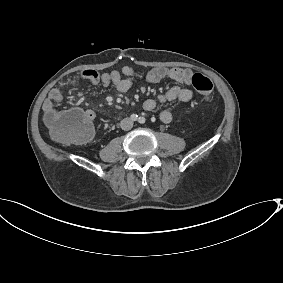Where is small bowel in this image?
Wrapping results in <instances>:
<instances>
[{"label":"small bowel","instance_id":"1","mask_svg":"<svg viewBox=\"0 0 283 283\" xmlns=\"http://www.w3.org/2000/svg\"><path fill=\"white\" fill-rule=\"evenodd\" d=\"M192 76V72L188 69L155 67L148 71L146 80L150 83H157L167 78L178 84L189 85L191 84ZM80 77L94 85H102L104 87L113 86L118 92L126 93L132 86L134 71L130 66L123 67L121 71L114 70L101 74L95 70L86 69L80 73ZM192 96L193 93L189 88L175 85L163 94H160L157 98L147 99L143 103V108L151 112L155 110L158 105L168 102L176 100L188 102L191 100ZM62 100V92L57 88L51 89L43 104L45 114L48 115L54 112V105L60 103ZM86 114L90 116L91 119L94 117L92 110H87ZM159 118L163 123H169L172 121L173 115L170 110L165 109L160 112Z\"/></svg>","mask_w":283,"mask_h":283}]
</instances>
